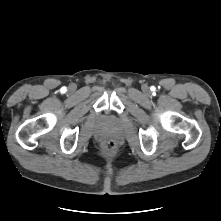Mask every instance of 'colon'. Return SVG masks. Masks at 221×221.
<instances>
[{"mask_svg":"<svg viewBox=\"0 0 221 221\" xmlns=\"http://www.w3.org/2000/svg\"><path fill=\"white\" fill-rule=\"evenodd\" d=\"M102 149L105 155L113 156L117 152V143L112 139H106L103 141Z\"/></svg>","mask_w":221,"mask_h":221,"instance_id":"colon-1","label":"colon"}]
</instances>
